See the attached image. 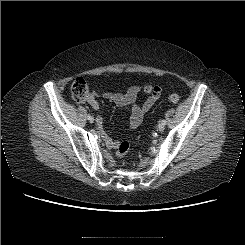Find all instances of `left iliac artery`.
<instances>
[{"instance_id": "44dca946", "label": "left iliac artery", "mask_w": 245, "mask_h": 245, "mask_svg": "<svg viewBox=\"0 0 245 245\" xmlns=\"http://www.w3.org/2000/svg\"><path fill=\"white\" fill-rule=\"evenodd\" d=\"M161 123L164 124V125H166V120L163 119V120L161 121Z\"/></svg>"}]
</instances>
